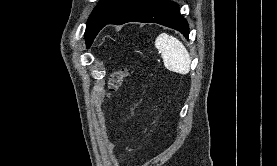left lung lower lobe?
Instances as JSON below:
<instances>
[{
    "mask_svg": "<svg viewBox=\"0 0 277 166\" xmlns=\"http://www.w3.org/2000/svg\"><path fill=\"white\" fill-rule=\"evenodd\" d=\"M132 21L158 23L180 31L185 37L189 35L188 23L180 14L178 5L168 0H135L106 25Z\"/></svg>",
    "mask_w": 277,
    "mask_h": 166,
    "instance_id": "obj_1",
    "label": "left lung lower lobe"
}]
</instances>
